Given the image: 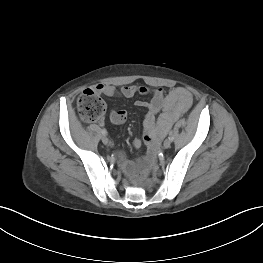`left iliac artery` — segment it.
<instances>
[{"instance_id": "left-iliac-artery-1", "label": "left iliac artery", "mask_w": 263, "mask_h": 263, "mask_svg": "<svg viewBox=\"0 0 263 263\" xmlns=\"http://www.w3.org/2000/svg\"><path fill=\"white\" fill-rule=\"evenodd\" d=\"M168 138H169V140L173 141V140H174V136H173V134L170 133Z\"/></svg>"}]
</instances>
